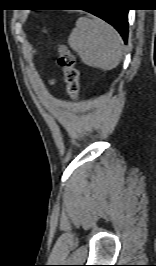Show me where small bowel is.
<instances>
[{
  "instance_id": "small-bowel-1",
  "label": "small bowel",
  "mask_w": 156,
  "mask_h": 266,
  "mask_svg": "<svg viewBox=\"0 0 156 266\" xmlns=\"http://www.w3.org/2000/svg\"><path fill=\"white\" fill-rule=\"evenodd\" d=\"M49 83H50L51 85H53V84H55V81H54L53 79H51V80H49Z\"/></svg>"
}]
</instances>
